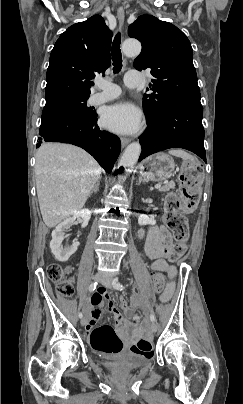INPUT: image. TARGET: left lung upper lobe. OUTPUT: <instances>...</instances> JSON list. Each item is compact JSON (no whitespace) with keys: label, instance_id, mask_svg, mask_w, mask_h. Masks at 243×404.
Segmentation results:
<instances>
[{"label":"left lung upper lobe","instance_id":"obj_1","mask_svg":"<svg viewBox=\"0 0 243 404\" xmlns=\"http://www.w3.org/2000/svg\"><path fill=\"white\" fill-rule=\"evenodd\" d=\"M128 35L142 43L134 68H150L154 77L147 88L152 93L143 99L147 122L157 120L175 104L201 105L193 50L180 29L154 16L141 15L129 26Z\"/></svg>","mask_w":243,"mask_h":404}]
</instances>
